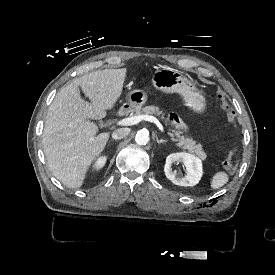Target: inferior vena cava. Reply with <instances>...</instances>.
Returning a JSON list of instances; mask_svg holds the SVG:
<instances>
[{
    "instance_id": "obj_1",
    "label": "inferior vena cava",
    "mask_w": 275,
    "mask_h": 275,
    "mask_svg": "<svg viewBox=\"0 0 275 275\" xmlns=\"http://www.w3.org/2000/svg\"><path fill=\"white\" fill-rule=\"evenodd\" d=\"M129 133H130L129 128H119L113 131L112 138L115 140L122 139L126 137Z\"/></svg>"
}]
</instances>
